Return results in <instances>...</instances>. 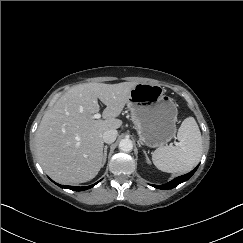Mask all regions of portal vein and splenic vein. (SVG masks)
<instances>
[{"label":"portal vein and splenic vein","mask_w":243,"mask_h":243,"mask_svg":"<svg viewBox=\"0 0 243 243\" xmlns=\"http://www.w3.org/2000/svg\"><path fill=\"white\" fill-rule=\"evenodd\" d=\"M94 119H100L101 118V114L96 113L93 115Z\"/></svg>","instance_id":"obj_1"}]
</instances>
